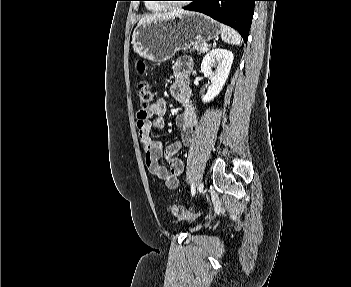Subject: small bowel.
<instances>
[{
	"label": "small bowel",
	"mask_w": 351,
	"mask_h": 287,
	"mask_svg": "<svg viewBox=\"0 0 351 287\" xmlns=\"http://www.w3.org/2000/svg\"><path fill=\"white\" fill-rule=\"evenodd\" d=\"M190 66L189 60H182L174 65L175 80L170 89L172 97L183 107L182 113L176 118V124L181 129L180 141L164 147L161 142L151 138L153 129L164 126L162 116L167 110L164 98H159L149 106L139 109L137 113V129L144 148L146 165L152 174L170 188L177 187L184 170V164L177 157V153L183 145L190 146L193 143L197 124V114L190 101L192 95L188 84ZM162 159L168 163V167L161 164Z\"/></svg>",
	"instance_id": "1"
}]
</instances>
